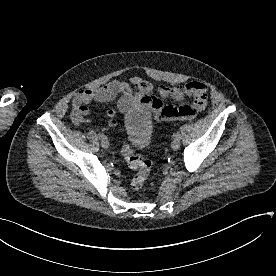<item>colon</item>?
<instances>
[{"label": "colon", "instance_id": "colon-1", "mask_svg": "<svg viewBox=\"0 0 276 276\" xmlns=\"http://www.w3.org/2000/svg\"><path fill=\"white\" fill-rule=\"evenodd\" d=\"M121 152L129 167L136 171L131 181L132 187L141 189L150 174L152 162L137 154L129 144H123Z\"/></svg>", "mask_w": 276, "mask_h": 276}]
</instances>
